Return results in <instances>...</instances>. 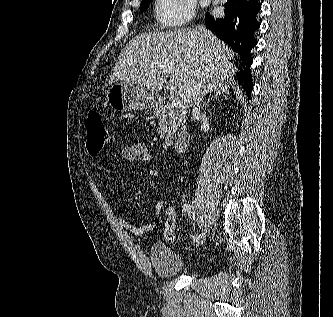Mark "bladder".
Listing matches in <instances>:
<instances>
[{
  "instance_id": "1",
  "label": "bladder",
  "mask_w": 333,
  "mask_h": 317,
  "mask_svg": "<svg viewBox=\"0 0 333 317\" xmlns=\"http://www.w3.org/2000/svg\"><path fill=\"white\" fill-rule=\"evenodd\" d=\"M149 258L154 271L161 277H173L185 272L189 263L165 244H155Z\"/></svg>"
}]
</instances>
